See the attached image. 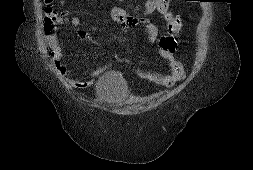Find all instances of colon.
<instances>
[{"mask_svg": "<svg viewBox=\"0 0 253 170\" xmlns=\"http://www.w3.org/2000/svg\"><path fill=\"white\" fill-rule=\"evenodd\" d=\"M49 16L46 18L45 21V30L51 31L53 29L54 21L56 20L58 14L53 10L51 13L48 14ZM175 27H178L180 24L178 21H175L173 24Z\"/></svg>", "mask_w": 253, "mask_h": 170, "instance_id": "obj_1", "label": "colon"}]
</instances>
